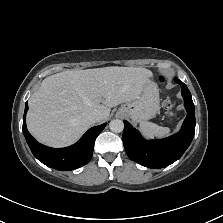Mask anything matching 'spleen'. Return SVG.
<instances>
[{"label":"spleen","instance_id":"obj_1","mask_svg":"<svg viewBox=\"0 0 223 223\" xmlns=\"http://www.w3.org/2000/svg\"><path fill=\"white\" fill-rule=\"evenodd\" d=\"M139 129L146 141L156 139H163L170 136V128L159 127L156 124L149 122H142L139 124ZM176 131L178 128L175 129Z\"/></svg>","mask_w":223,"mask_h":223}]
</instances>
